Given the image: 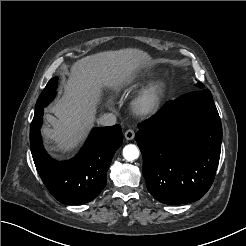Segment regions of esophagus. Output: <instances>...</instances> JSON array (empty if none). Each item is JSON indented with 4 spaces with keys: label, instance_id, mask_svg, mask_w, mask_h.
Wrapping results in <instances>:
<instances>
[{
    "label": "esophagus",
    "instance_id": "esophagus-1",
    "mask_svg": "<svg viewBox=\"0 0 246 246\" xmlns=\"http://www.w3.org/2000/svg\"><path fill=\"white\" fill-rule=\"evenodd\" d=\"M124 136L127 140H133L135 137V132L132 129H128L125 133Z\"/></svg>",
    "mask_w": 246,
    "mask_h": 246
}]
</instances>
